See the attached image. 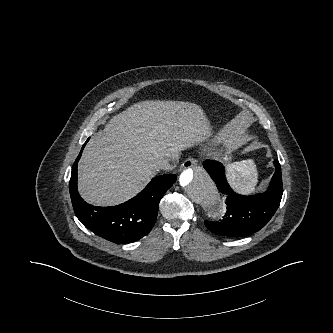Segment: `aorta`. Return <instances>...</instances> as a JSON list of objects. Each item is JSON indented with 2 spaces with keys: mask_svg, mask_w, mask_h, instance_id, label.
Returning <instances> with one entry per match:
<instances>
[{
  "mask_svg": "<svg viewBox=\"0 0 333 333\" xmlns=\"http://www.w3.org/2000/svg\"><path fill=\"white\" fill-rule=\"evenodd\" d=\"M178 183L185 196L200 207L211 221L221 219L225 213L222 195L209 174L201 167L188 168L180 176Z\"/></svg>",
  "mask_w": 333,
  "mask_h": 333,
  "instance_id": "1",
  "label": "aorta"
}]
</instances>
